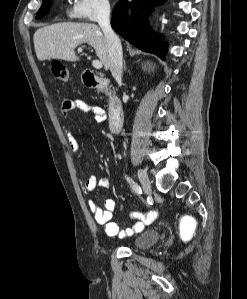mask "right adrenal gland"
Wrapping results in <instances>:
<instances>
[{
  "label": "right adrenal gland",
  "mask_w": 247,
  "mask_h": 299,
  "mask_svg": "<svg viewBox=\"0 0 247 299\" xmlns=\"http://www.w3.org/2000/svg\"><path fill=\"white\" fill-rule=\"evenodd\" d=\"M124 70L126 71V62H125V60H124Z\"/></svg>",
  "instance_id": "obj_1"
}]
</instances>
